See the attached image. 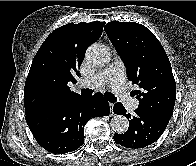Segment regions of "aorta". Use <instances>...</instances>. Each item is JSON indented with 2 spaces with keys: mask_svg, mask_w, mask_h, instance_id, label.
<instances>
[{
  "mask_svg": "<svg viewBox=\"0 0 196 166\" xmlns=\"http://www.w3.org/2000/svg\"><path fill=\"white\" fill-rule=\"evenodd\" d=\"M86 59L93 65L103 67L110 62V50L103 44H93L86 51ZM111 128L118 134L128 130V119L123 115H115L110 122Z\"/></svg>",
  "mask_w": 196,
  "mask_h": 166,
  "instance_id": "obj_1",
  "label": "aorta"
}]
</instances>
